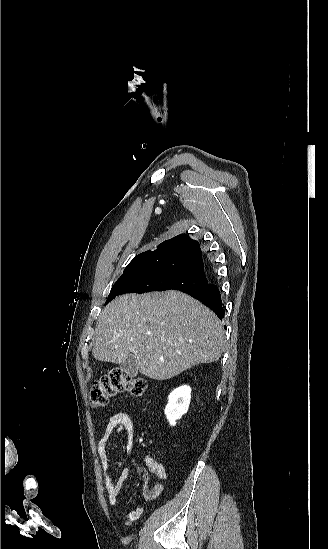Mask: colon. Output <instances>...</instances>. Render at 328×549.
I'll return each instance as SVG.
<instances>
[{
    "instance_id": "obj_1",
    "label": "colon",
    "mask_w": 328,
    "mask_h": 549,
    "mask_svg": "<svg viewBox=\"0 0 328 549\" xmlns=\"http://www.w3.org/2000/svg\"><path fill=\"white\" fill-rule=\"evenodd\" d=\"M146 389L147 382L144 379L133 378L114 369L92 385L89 392V403L94 408H100L106 406L110 398L118 393L130 392L140 396ZM136 516L135 513L127 514L124 517V522L129 524Z\"/></svg>"
}]
</instances>
